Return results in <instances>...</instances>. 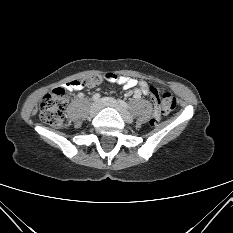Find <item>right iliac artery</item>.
Returning <instances> with one entry per match:
<instances>
[{"label":"right iliac artery","mask_w":233,"mask_h":233,"mask_svg":"<svg viewBox=\"0 0 233 233\" xmlns=\"http://www.w3.org/2000/svg\"><path fill=\"white\" fill-rule=\"evenodd\" d=\"M100 97H101V95L99 93H96V94L93 95L92 99H93V101L97 102V101L100 100Z\"/></svg>","instance_id":"1"}]
</instances>
